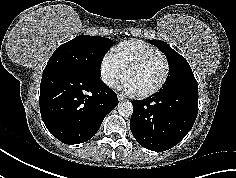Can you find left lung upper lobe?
<instances>
[{
  "label": "left lung upper lobe",
  "instance_id": "obj_1",
  "mask_svg": "<svg viewBox=\"0 0 236 178\" xmlns=\"http://www.w3.org/2000/svg\"><path fill=\"white\" fill-rule=\"evenodd\" d=\"M157 46L167 57L170 73L162 90L166 89H198L197 81L187 60L168 44L161 40H148Z\"/></svg>",
  "mask_w": 236,
  "mask_h": 178
}]
</instances>
